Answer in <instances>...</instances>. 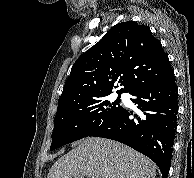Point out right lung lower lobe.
Here are the masks:
<instances>
[{"label":"right lung lower lobe","instance_id":"obj_1","mask_svg":"<svg viewBox=\"0 0 194 178\" xmlns=\"http://www.w3.org/2000/svg\"><path fill=\"white\" fill-rule=\"evenodd\" d=\"M142 111L130 119L132 112L122 108L89 136L104 137L124 143L152 159L167 178L174 136L177 128V86L174 72L164 80L147 84L130 93Z\"/></svg>","mask_w":194,"mask_h":178}]
</instances>
